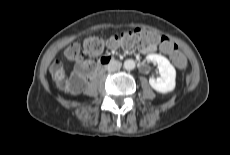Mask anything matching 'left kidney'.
<instances>
[{
	"instance_id": "left-kidney-1",
	"label": "left kidney",
	"mask_w": 230,
	"mask_h": 155,
	"mask_svg": "<svg viewBox=\"0 0 230 155\" xmlns=\"http://www.w3.org/2000/svg\"><path fill=\"white\" fill-rule=\"evenodd\" d=\"M147 61L156 63L159 67L160 77L150 78L149 84L151 87L162 94L169 93L175 89L176 70L169 60L159 54H149L146 57Z\"/></svg>"
}]
</instances>
